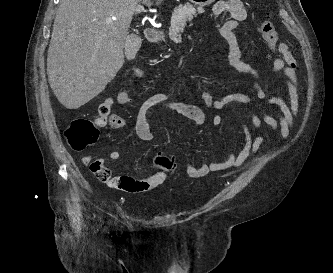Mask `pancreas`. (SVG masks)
Masks as SVG:
<instances>
[{"label": "pancreas", "instance_id": "obj_1", "mask_svg": "<svg viewBox=\"0 0 333 273\" xmlns=\"http://www.w3.org/2000/svg\"><path fill=\"white\" fill-rule=\"evenodd\" d=\"M202 8H195L190 4L179 5L173 10L171 17V26L169 28V37L172 40H179L184 31L187 21H192L197 13H202Z\"/></svg>", "mask_w": 333, "mask_h": 273}]
</instances>
